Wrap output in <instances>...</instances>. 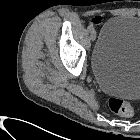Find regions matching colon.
Instances as JSON below:
<instances>
[{"label":"colon","instance_id":"obj_1","mask_svg":"<svg viewBox=\"0 0 140 140\" xmlns=\"http://www.w3.org/2000/svg\"><path fill=\"white\" fill-rule=\"evenodd\" d=\"M108 106L112 112L121 116L129 117L133 114L131 104L128 101L118 97H111L108 100Z\"/></svg>","mask_w":140,"mask_h":140}]
</instances>
